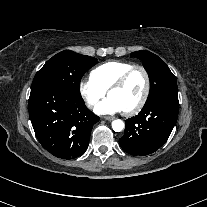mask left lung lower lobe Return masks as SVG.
Listing matches in <instances>:
<instances>
[{"instance_id":"1","label":"left lung lower lobe","mask_w":207,"mask_h":207,"mask_svg":"<svg viewBox=\"0 0 207 207\" xmlns=\"http://www.w3.org/2000/svg\"><path fill=\"white\" fill-rule=\"evenodd\" d=\"M179 110L178 92H165L146 103L135 117L126 120L121 148L134 156L158 150L169 138Z\"/></svg>"}]
</instances>
